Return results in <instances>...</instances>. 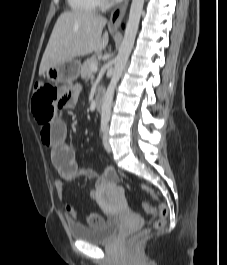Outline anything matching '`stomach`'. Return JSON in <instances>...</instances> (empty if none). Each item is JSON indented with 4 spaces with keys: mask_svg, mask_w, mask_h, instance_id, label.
Instances as JSON below:
<instances>
[{
    "mask_svg": "<svg viewBox=\"0 0 227 265\" xmlns=\"http://www.w3.org/2000/svg\"><path fill=\"white\" fill-rule=\"evenodd\" d=\"M81 63L78 60H70L62 64L52 66L45 72V77L53 83L74 81L80 74Z\"/></svg>",
    "mask_w": 227,
    "mask_h": 265,
    "instance_id": "1",
    "label": "stomach"
}]
</instances>
